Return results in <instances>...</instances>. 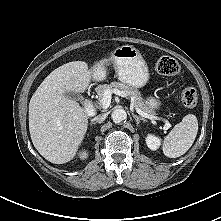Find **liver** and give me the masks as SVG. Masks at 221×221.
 Masks as SVG:
<instances>
[{
	"instance_id": "obj_1",
	"label": "liver",
	"mask_w": 221,
	"mask_h": 221,
	"mask_svg": "<svg viewBox=\"0 0 221 221\" xmlns=\"http://www.w3.org/2000/svg\"><path fill=\"white\" fill-rule=\"evenodd\" d=\"M92 72L84 61H73L53 70L40 84L29 103L32 143L46 160L69 162L76 155L88 128V114L65 96L88 89Z\"/></svg>"
}]
</instances>
